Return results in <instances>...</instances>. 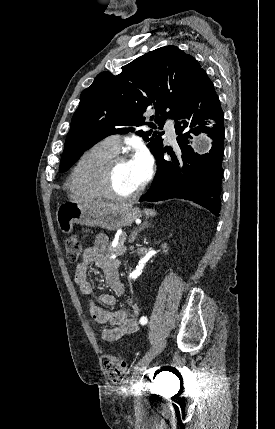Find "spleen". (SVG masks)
Returning <instances> with one entry per match:
<instances>
[{
  "instance_id": "obj_1",
  "label": "spleen",
  "mask_w": 275,
  "mask_h": 429,
  "mask_svg": "<svg viewBox=\"0 0 275 429\" xmlns=\"http://www.w3.org/2000/svg\"><path fill=\"white\" fill-rule=\"evenodd\" d=\"M144 212H145L147 215H151V216H154V215H155V211H154V210H151V209H146Z\"/></svg>"
}]
</instances>
